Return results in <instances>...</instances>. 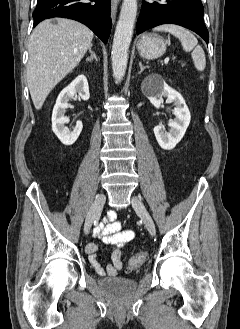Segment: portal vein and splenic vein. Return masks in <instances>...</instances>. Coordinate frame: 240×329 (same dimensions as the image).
<instances>
[{"instance_id":"18ae733b","label":"portal vein and splenic vein","mask_w":240,"mask_h":329,"mask_svg":"<svg viewBox=\"0 0 240 329\" xmlns=\"http://www.w3.org/2000/svg\"><path fill=\"white\" fill-rule=\"evenodd\" d=\"M169 60H170L169 57H166V58L164 59V63L167 64V63L169 62Z\"/></svg>"}]
</instances>
